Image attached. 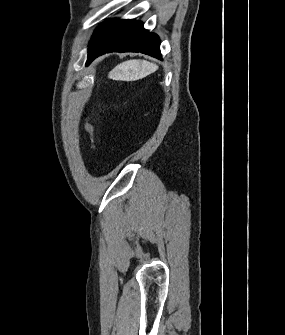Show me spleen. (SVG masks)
Here are the masks:
<instances>
[{
  "label": "spleen",
  "instance_id": "3e777b00",
  "mask_svg": "<svg viewBox=\"0 0 285 335\" xmlns=\"http://www.w3.org/2000/svg\"><path fill=\"white\" fill-rule=\"evenodd\" d=\"M128 70H132V74H150V72H155L158 66L156 64H147V62H127L126 64Z\"/></svg>",
  "mask_w": 285,
  "mask_h": 335
}]
</instances>
